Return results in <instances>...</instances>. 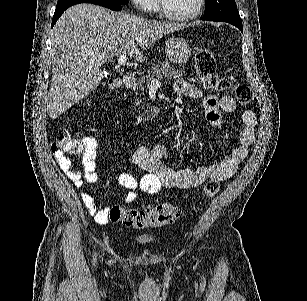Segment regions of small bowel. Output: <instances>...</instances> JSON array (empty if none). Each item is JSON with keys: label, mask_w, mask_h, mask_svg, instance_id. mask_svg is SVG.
<instances>
[{"label": "small bowel", "mask_w": 307, "mask_h": 301, "mask_svg": "<svg viewBox=\"0 0 307 301\" xmlns=\"http://www.w3.org/2000/svg\"><path fill=\"white\" fill-rule=\"evenodd\" d=\"M174 90L181 95L191 98L203 97L202 90L185 80H177ZM237 108L235 99L232 96L218 97L208 95L203 97L202 109L207 121L216 128L222 126V113H233ZM244 123L239 132V144L231 155L219 163L196 169H172L163 159L164 150H150L140 146L131 155V162L144 170L146 173L137 177L129 172H122L119 175V185L128 190L125 201L132 202L140 193L153 195L163 188L190 189L200 186L207 179L223 181L233 177L239 165L246 159L250 148L255 141V129L257 118L253 111L246 110L242 115ZM84 154L82 164L84 177L73 166L71 160L62 151H55L54 157L62 172L72 181L79 190L82 202L94 220L99 224H107L109 208H98L93 196L85 183H95L98 180L96 157L98 142L93 136L82 138Z\"/></svg>", "instance_id": "obj_1"}]
</instances>
